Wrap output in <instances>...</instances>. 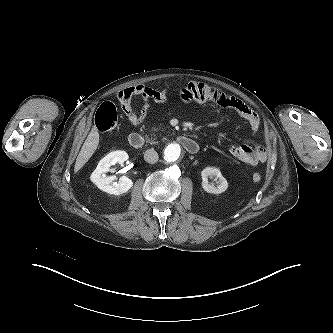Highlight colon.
Returning a JSON list of instances; mask_svg holds the SVG:
<instances>
[{"label":"colon","instance_id":"5ec220e1","mask_svg":"<svg viewBox=\"0 0 333 333\" xmlns=\"http://www.w3.org/2000/svg\"><path fill=\"white\" fill-rule=\"evenodd\" d=\"M95 125L97 129L101 132H109L112 131L118 121L117 111L114 104L110 102H104L97 109L95 114ZM262 176L260 173H254L252 175V180L254 182H260Z\"/></svg>","mask_w":333,"mask_h":333}]
</instances>
